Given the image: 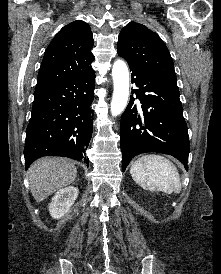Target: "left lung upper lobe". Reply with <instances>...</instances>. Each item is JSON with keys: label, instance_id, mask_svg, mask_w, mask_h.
I'll list each match as a JSON object with an SVG mask.
<instances>
[{"label": "left lung upper lobe", "instance_id": "1", "mask_svg": "<svg viewBox=\"0 0 221 274\" xmlns=\"http://www.w3.org/2000/svg\"><path fill=\"white\" fill-rule=\"evenodd\" d=\"M117 52L146 70L176 82L174 63L161 38L146 26L130 22L120 32Z\"/></svg>", "mask_w": 221, "mask_h": 274}]
</instances>
